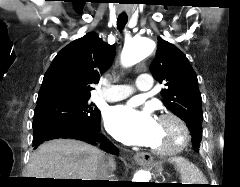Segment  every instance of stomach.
I'll list each match as a JSON object with an SVG mask.
<instances>
[{
    "mask_svg": "<svg viewBox=\"0 0 240 187\" xmlns=\"http://www.w3.org/2000/svg\"><path fill=\"white\" fill-rule=\"evenodd\" d=\"M157 167V169L160 171L161 170V167L160 166H156Z\"/></svg>",
    "mask_w": 240,
    "mask_h": 187,
    "instance_id": "0dacf381",
    "label": "stomach"
}]
</instances>
